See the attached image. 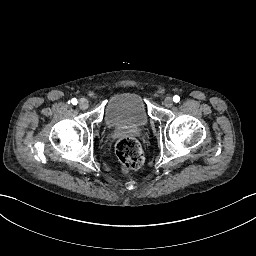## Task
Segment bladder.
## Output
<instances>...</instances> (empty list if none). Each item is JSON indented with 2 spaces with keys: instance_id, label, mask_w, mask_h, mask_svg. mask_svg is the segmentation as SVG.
I'll return each instance as SVG.
<instances>
[{
  "instance_id": "31cf9c89",
  "label": "bladder",
  "mask_w": 256,
  "mask_h": 256,
  "mask_svg": "<svg viewBox=\"0 0 256 256\" xmlns=\"http://www.w3.org/2000/svg\"><path fill=\"white\" fill-rule=\"evenodd\" d=\"M105 119L125 129L144 128L150 120L140 95L131 91H122L110 99Z\"/></svg>"
}]
</instances>
